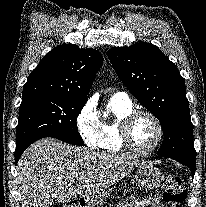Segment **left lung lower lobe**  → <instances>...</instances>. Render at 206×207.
I'll return each mask as SVG.
<instances>
[{
	"label": "left lung lower lobe",
	"mask_w": 206,
	"mask_h": 207,
	"mask_svg": "<svg viewBox=\"0 0 206 207\" xmlns=\"http://www.w3.org/2000/svg\"><path fill=\"white\" fill-rule=\"evenodd\" d=\"M172 159H174V158H172ZM174 160L180 162L181 164H184V165L188 166L190 168L191 172H192V176H194V174H195V166H196L195 162L188 161V160H180V159H174Z\"/></svg>",
	"instance_id": "left-lung-lower-lobe-1"
}]
</instances>
